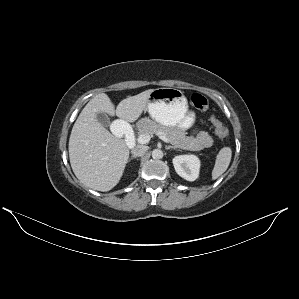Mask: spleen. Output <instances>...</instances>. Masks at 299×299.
<instances>
[{"label": "spleen", "instance_id": "3e777b00", "mask_svg": "<svg viewBox=\"0 0 299 299\" xmlns=\"http://www.w3.org/2000/svg\"><path fill=\"white\" fill-rule=\"evenodd\" d=\"M232 157V150L230 147H223L217 154L215 165L212 170V179L215 180L220 177L229 167Z\"/></svg>", "mask_w": 299, "mask_h": 299}]
</instances>
